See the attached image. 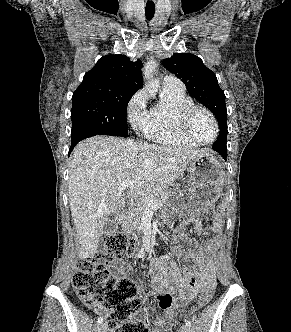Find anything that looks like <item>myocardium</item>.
<instances>
[{"label": "myocardium", "mask_w": 291, "mask_h": 332, "mask_svg": "<svg viewBox=\"0 0 291 332\" xmlns=\"http://www.w3.org/2000/svg\"><path fill=\"white\" fill-rule=\"evenodd\" d=\"M197 111L205 112L213 122L215 134H214V137L210 141H206V142L200 141L196 137H194V135L190 131L191 117ZM178 123H179V128H180V131L182 132V134L186 138H188L190 141H192L193 143H195L197 145H202V146L210 145L216 141L218 134H219V126H218V122H217L215 115L212 113V111L210 109H208L207 107L202 106V105L191 104V105L184 107L179 114Z\"/></svg>", "instance_id": "f54148a6"}]
</instances>
